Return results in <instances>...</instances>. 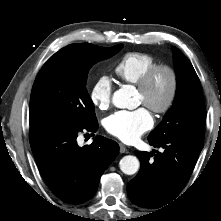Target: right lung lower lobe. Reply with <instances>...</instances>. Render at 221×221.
Instances as JSON below:
<instances>
[{"mask_svg": "<svg viewBox=\"0 0 221 221\" xmlns=\"http://www.w3.org/2000/svg\"><path fill=\"white\" fill-rule=\"evenodd\" d=\"M97 129V121L87 127L59 123L30 127V144L41 175L66 203L79 204L92 198L101 175L118 154V144L99 135L91 145L78 146L80 132Z\"/></svg>", "mask_w": 221, "mask_h": 221, "instance_id": "98d812e1", "label": "right lung lower lobe"}]
</instances>
